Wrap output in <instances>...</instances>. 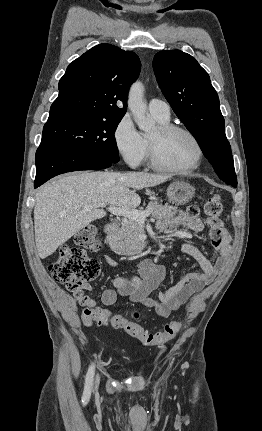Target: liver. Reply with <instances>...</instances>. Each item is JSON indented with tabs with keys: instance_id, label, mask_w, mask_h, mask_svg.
Wrapping results in <instances>:
<instances>
[{
	"instance_id": "1",
	"label": "liver",
	"mask_w": 262,
	"mask_h": 431,
	"mask_svg": "<svg viewBox=\"0 0 262 431\" xmlns=\"http://www.w3.org/2000/svg\"><path fill=\"white\" fill-rule=\"evenodd\" d=\"M166 175L143 172H79L60 176L41 186L34 207L35 242L40 258L52 255L77 232L106 212L96 207L135 209L141 198L135 189L164 183ZM134 189V190H132ZM92 206L89 211L84 207Z\"/></svg>"
}]
</instances>
